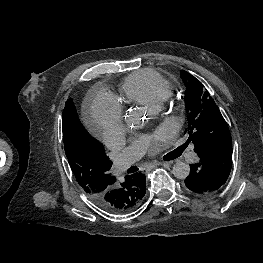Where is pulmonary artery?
<instances>
[{"label": "pulmonary artery", "instance_id": "1", "mask_svg": "<svg viewBox=\"0 0 263 263\" xmlns=\"http://www.w3.org/2000/svg\"><path fill=\"white\" fill-rule=\"evenodd\" d=\"M159 106H156L154 109L158 110ZM146 145L144 142H137L127 147L124 151H122L117 157L114 164V172L115 174H121L128 167H130L136 160H138L143 153L145 152ZM187 161L196 162L198 160V156L196 152L193 150V147L187 153L186 156Z\"/></svg>", "mask_w": 263, "mask_h": 263}]
</instances>
